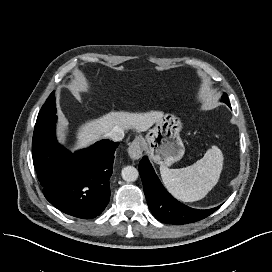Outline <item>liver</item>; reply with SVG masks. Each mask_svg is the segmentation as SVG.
Segmentation results:
<instances>
[{
	"instance_id": "1",
	"label": "liver",
	"mask_w": 272,
	"mask_h": 272,
	"mask_svg": "<svg viewBox=\"0 0 272 272\" xmlns=\"http://www.w3.org/2000/svg\"><path fill=\"white\" fill-rule=\"evenodd\" d=\"M162 115V112L157 111L146 113L111 111L99 118L87 120L78 126L76 143L72 151L92 145L116 126L124 130L135 129L137 132L146 131L153 126Z\"/></svg>"
}]
</instances>
